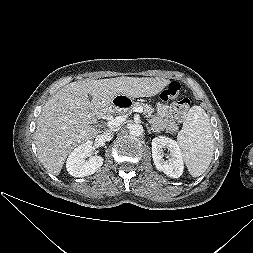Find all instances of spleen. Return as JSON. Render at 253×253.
Here are the masks:
<instances>
[{"label":"spleen","instance_id":"obj_1","mask_svg":"<svg viewBox=\"0 0 253 253\" xmlns=\"http://www.w3.org/2000/svg\"><path fill=\"white\" fill-rule=\"evenodd\" d=\"M177 143L192 177L201 176L209 167L214 151L210 118L200 106L189 110Z\"/></svg>","mask_w":253,"mask_h":253}]
</instances>
